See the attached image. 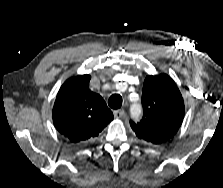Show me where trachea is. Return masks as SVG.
I'll return each mask as SVG.
<instances>
[{
	"label": "trachea",
	"instance_id": "obj_1",
	"mask_svg": "<svg viewBox=\"0 0 223 188\" xmlns=\"http://www.w3.org/2000/svg\"><path fill=\"white\" fill-rule=\"evenodd\" d=\"M108 105L112 109H119L122 106V97L119 94H113L108 100Z\"/></svg>",
	"mask_w": 223,
	"mask_h": 188
}]
</instances>
